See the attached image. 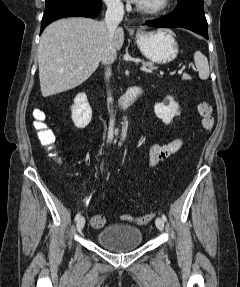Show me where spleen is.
Returning a JSON list of instances; mask_svg holds the SVG:
<instances>
[{
    "instance_id": "3e777b00",
    "label": "spleen",
    "mask_w": 240,
    "mask_h": 287,
    "mask_svg": "<svg viewBox=\"0 0 240 287\" xmlns=\"http://www.w3.org/2000/svg\"><path fill=\"white\" fill-rule=\"evenodd\" d=\"M194 62L198 71L199 77L202 80H206L209 77V64L205 55L200 51L194 53Z\"/></svg>"
}]
</instances>
